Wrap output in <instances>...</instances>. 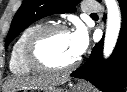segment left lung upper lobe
<instances>
[{"instance_id": "1", "label": "left lung upper lobe", "mask_w": 127, "mask_h": 92, "mask_svg": "<svg viewBox=\"0 0 127 92\" xmlns=\"http://www.w3.org/2000/svg\"><path fill=\"white\" fill-rule=\"evenodd\" d=\"M99 2L101 0H98ZM80 0H23L15 14L8 32L5 49L25 28L47 15L72 13Z\"/></svg>"}]
</instances>
